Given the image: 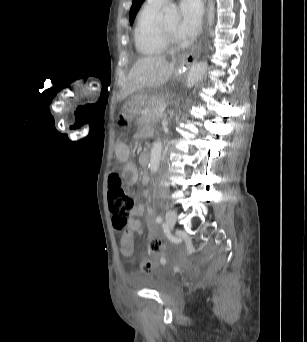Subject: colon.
<instances>
[{
  "label": "colon",
  "mask_w": 307,
  "mask_h": 342,
  "mask_svg": "<svg viewBox=\"0 0 307 342\" xmlns=\"http://www.w3.org/2000/svg\"><path fill=\"white\" fill-rule=\"evenodd\" d=\"M118 124L127 128V119L124 114H119ZM108 201L112 212L113 226L121 230L128 221L130 213L135 209V202L124 190L122 179L117 171H113L109 176ZM125 235H119L120 254H133L134 239L133 232L126 230ZM152 255H158L164 250V244L161 241L152 239L147 246ZM153 268L151 259L144 260L140 265V272L147 274Z\"/></svg>",
  "instance_id": "obj_1"
}]
</instances>
